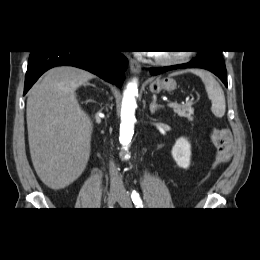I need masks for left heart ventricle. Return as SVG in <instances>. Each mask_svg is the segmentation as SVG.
<instances>
[{
  "label": "left heart ventricle",
  "mask_w": 260,
  "mask_h": 260,
  "mask_svg": "<svg viewBox=\"0 0 260 260\" xmlns=\"http://www.w3.org/2000/svg\"><path fill=\"white\" fill-rule=\"evenodd\" d=\"M157 54L160 55V56H167L168 55L167 52H161V53H157Z\"/></svg>",
  "instance_id": "1"
}]
</instances>
